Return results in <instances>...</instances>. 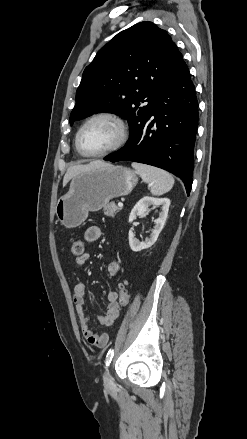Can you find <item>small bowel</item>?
<instances>
[{
  "mask_svg": "<svg viewBox=\"0 0 247 439\" xmlns=\"http://www.w3.org/2000/svg\"><path fill=\"white\" fill-rule=\"evenodd\" d=\"M102 235V230L98 225H92L88 227L84 233V239L87 242H95ZM91 257L89 252H84L75 261L74 267L79 268L83 266ZM107 273L111 278H116L120 273V264L117 260H112L107 265ZM85 285L78 283L74 287L73 302L77 312L80 328L84 339L91 345L103 348L107 346L109 342V336L106 333L95 334L89 327V318L84 309V296H85ZM119 295L115 291H111L107 295L108 306L105 315L97 317V321L102 326H111L119 316V305H118Z\"/></svg>",
  "mask_w": 247,
  "mask_h": 439,
  "instance_id": "small-bowel-1",
  "label": "small bowel"
}]
</instances>
